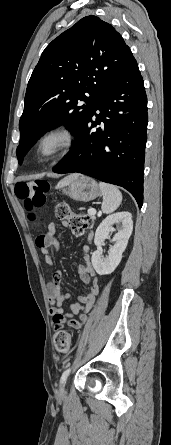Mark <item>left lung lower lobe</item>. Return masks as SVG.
Instances as JSON below:
<instances>
[{"mask_svg":"<svg viewBox=\"0 0 171 445\" xmlns=\"http://www.w3.org/2000/svg\"><path fill=\"white\" fill-rule=\"evenodd\" d=\"M147 124V97L136 64L108 82L76 144L53 172H78L124 187L141 208Z\"/></svg>","mask_w":171,"mask_h":445,"instance_id":"1","label":"left lung lower lobe"}]
</instances>
